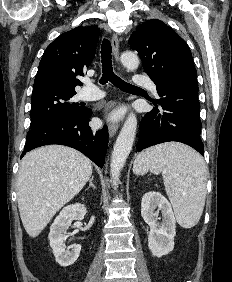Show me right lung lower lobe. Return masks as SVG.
I'll return each mask as SVG.
<instances>
[{"mask_svg": "<svg viewBox=\"0 0 232 282\" xmlns=\"http://www.w3.org/2000/svg\"><path fill=\"white\" fill-rule=\"evenodd\" d=\"M91 115L90 109L81 114H62L31 128L27 133L21 158L34 148L60 144L82 152L102 168L108 146V130L106 126L100 130L91 129L89 127Z\"/></svg>", "mask_w": 232, "mask_h": 282, "instance_id": "right-lung-lower-lobe-1", "label": "right lung lower lobe"}]
</instances>
